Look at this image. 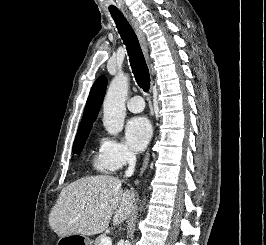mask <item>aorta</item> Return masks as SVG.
Segmentation results:
<instances>
[{
  "label": "aorta",
  "instance_id": "aorta-1",
  "mask_svg": "<svg viewBox=\"0 0 266 245\" xmlns=\"http://www.w3.org/2000/svg\"><path fill=\"white\" fill-rule=\"evenodd\" d=\"M128 86L129 78L124 72H117L109 84L103 102V125L109 135H118L123 129ZM142 209L143 207H140L139 211Z\"/></svg>",
  "mask_w": 266,
  "mask_h": 245
}]
</instances>
